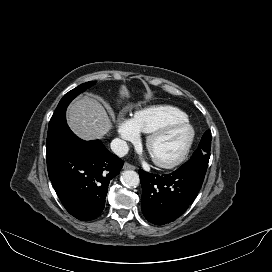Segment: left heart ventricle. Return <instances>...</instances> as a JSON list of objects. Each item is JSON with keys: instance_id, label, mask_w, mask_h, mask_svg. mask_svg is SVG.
<instances>
[{"instance_id": "1", "label": "left heart ventricle", "mask_w": 272, "mask_h": 272, "mask_svg": "<svg viewBox=\"0 0 272 272\" xmlns=\"http://www.w3.org/2000/svg\"><path fill=\"white\" fill-rule=\"evenodd\" d=\"M188 137V131L183 127L171 130L157 139L151 147V156L158 160H170L183 149Z\"/></svg>"}]
</instances>
